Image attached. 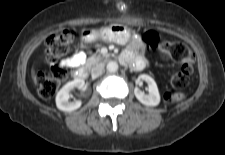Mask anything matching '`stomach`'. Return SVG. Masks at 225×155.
<instances>
[{"mask_svg":"<svg viewBox=\"0 0 225 155\" xmlns=\"http://www.w3.org/2000/svg\"><path fill=\"white\" fill-rule=\"evenodd\" d=\"M130 38V30L118 24H112L100 31H84L82 33V39L85 42H93L101 39L106 42H114L124 45L130 41Z\"/></svg>","mask_w":225,"mask_h":155,"instance_id":"obj_1","label":"stomach"}]
</instances>
